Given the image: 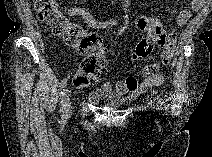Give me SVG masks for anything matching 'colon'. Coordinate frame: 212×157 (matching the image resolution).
Listing matches in <instances>:
<instances>
[{
  "mask_svg": "<svg viewBox=\"0 0 212 157\" xmlns=\"http://www.w3.org/2000/svg\"><path fill=\"white\" fill-rule=\"evenodd\" d=\"M35 8L39 19L54 34L76 46L84 54L73 77L74 86L82 90L95 84L107 66V50L101 39L95 34L87 33L81 25L68 20L56 1L38 0L35 2ZM164 40L163 34L148 33L141 37L134 48V58L147 57L155 46H161Z\"/></svg>",
  "mask_w": 212,
  "mask_h": 157,
  "instance_id": "5ec220e1",
  "label": "colon"
}]
</instances>
